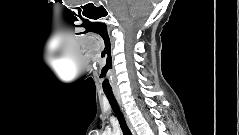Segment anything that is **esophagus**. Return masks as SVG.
<instances>
[{
    "instance_id": "34e87169",
    "label": "esophagus",
    "mask_w": 239,
    "mask_h": 135,
    "mask_svg": "<svg viewBox=\"0 0 239 135\" xmlns=\"http://www.w3.org/2000/svg\"><path fill=\"white\" fill-rule=\"evenodd\" d=\"M115 97H116V100L118 102V105L120 107V110L122 111L124 117H125V120H126V123L128 125V127L130 128L131 132L134 134V131H133V128H132V125L130 123V120L128 118V115L126 114V111H125V108H124V105L122 103V100H121V97L119 94H115Z\"/></svg>"
}]
</instances>
